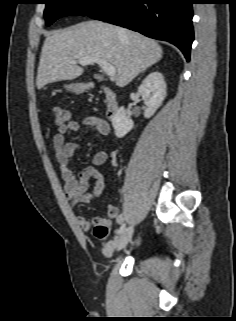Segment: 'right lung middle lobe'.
<instances>
[{
    "label": "right lung middle lobe",
    "instance_id": "1",
    "mask_svg": "<svg viewBox=\"0 0 236 321\" xmlns=\"http://www.w3.org/2000/svg\"><path fill=\"white\" fill-rule=\"evenodd\" d=\"M111 0H45L44 17L51 25L60 17L68 15H90L107 5Z\"/></svg>",
    "mask_w": 236,
    "mask_h": 321
}]
</instances>
